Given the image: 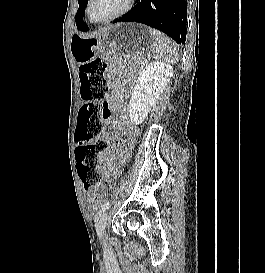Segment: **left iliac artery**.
<instances>
[{
    "mask_svg": "<svg viewBox=\"0 0 265 273\" xmlns=\"http://www.w3.org/2000/svg\"><path fill=\"white\" fill-rule=\"evenodd\" d=\"M109 207H110L109 202L104 203L100 208L99 214L100 215L103 214Z\"/></svg>",
    "mask_w": 265,
    "mask_h": 273,
    "instance_id": "44dca946",
    "label": "left iliac artery"
}]
</instances>
